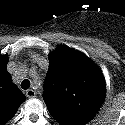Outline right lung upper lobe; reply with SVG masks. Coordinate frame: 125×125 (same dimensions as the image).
<instances>
[{
	"label": "right lung upper lobe",
	"mask_w": 125,
	"mask_h": 125,
	"mask_svg": "<svg viewBox=\"0 0 125 125\" xmlns=\"http://www.w3.org/2000/svg\"><path fill=\"white\" fill-rule=\"evenodd\" d=\"M8 55L0 56V125L5 124L17 112L25 95L11 82L7 71Z\"/></svg>",
	"instance_id": "1"
}]
</instances>
